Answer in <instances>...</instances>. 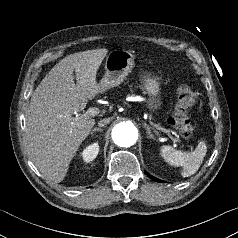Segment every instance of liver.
I'll return each mask as SVG.
<instances>
[{
  "label": "liver",
  "instance_id": "obj_1",
  "mask_svg": "<svg viewBox=\"0 0 238 238\" xmlns=\"http://www.w3.org/2000/svg\"><path fill=\"white\" fill-rule=\"evenodd\" d=\"M107 52L103 48L66 56L32 94L26 116L27 150L52 182L64 180L71 160L95 124L90 116L72 114L84 110L88 100L103 92L96 75Z\"/></svg>",
  "mask_w": 238,
  "mask_h": 238
}]
</instances>
